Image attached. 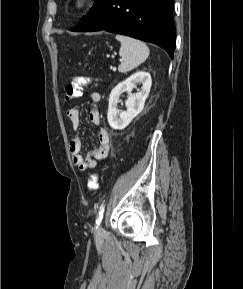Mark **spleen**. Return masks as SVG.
Listing matches in <instances>:
<instances>
[{
    "instance_id": "spleen-1",
    "label": "spleen",
    "mask_w": 243,
    "mask_h": 289,
    "mask_svg": "<svg viewBox=\"0 0 243 289\" xmlns=\"http://www.w3.org/2000/svg\"><path fill=\"white\" fill-rule=\"evenodd\" d=\"M115 38L121 43L119 55L123 62L118 66L120 73L137 68L148 58L150 51L144 42L124 35H116Z\"/></svg>"
}]
</instances>
